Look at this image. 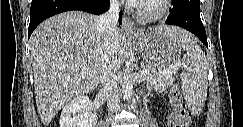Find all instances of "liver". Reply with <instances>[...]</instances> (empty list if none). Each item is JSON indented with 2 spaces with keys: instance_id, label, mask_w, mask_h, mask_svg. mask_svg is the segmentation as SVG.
Segmentation results:
<instances>
[{
  "instance_id": "6515ba94",
  "label": "liver",
  "mask_w": 243,
  "mask_h": 127,
  "mask_svg": "<svg viewBox=\"0 0 243 127\" xmlns=\"http://www.w3.org/2000/svg\"><path fill=\"white\" fill-rule=\"evenodd\" d=\"M99 19L81 11L64 12L41 23L30 38L36 106L46 127L65 104L99 83L105 34ZM114 39L118 51L124 35L117 29Z\"/></svg>"
}]
</instances>
